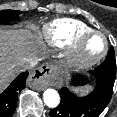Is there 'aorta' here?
Here are the masks:
<instances>
[{
  "instance_id": "1",
  "label": "aorta",
  "mask_w": 117,
  "mask_h": 117,
  "mask_svg": "<svg viewBox=\"0 0 117 117\" xmlns=\"http://www.w3.org/2000/svg\"><path fill=\"white\" fill-rule=\"evenodd\" d=\"M44 103L50 108H56L60 103L59 93L55 89H46L43 93Z\"/></svg>"
}]
</instances>
